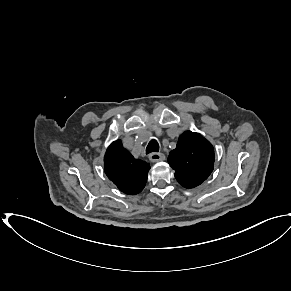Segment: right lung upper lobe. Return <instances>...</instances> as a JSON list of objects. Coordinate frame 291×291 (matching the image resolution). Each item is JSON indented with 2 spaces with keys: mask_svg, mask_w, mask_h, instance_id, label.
<instances>
[{
  "mask_svg": "<svg viewBox=\"0 0 291 291\" xmlns=\"http://www.w3.org/2000/svg\"><path fill=\"white\" fill-rule=\"evenodd\" d=\"M149 169V163L135 159L123 147L121 140L111 143L106 151L105 173L125 194H137L143 190Z\"/></svg>",
  "mask_w": 291,
  "mask_h": 291,
  "instance_id": "1",
  "label": "right lung upper lobe"
}]
</instances>
